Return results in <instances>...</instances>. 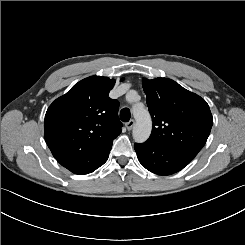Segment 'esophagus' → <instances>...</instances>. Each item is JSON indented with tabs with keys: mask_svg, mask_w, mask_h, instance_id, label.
I'll return each instance as SVG.
<instances>
[{
	"mask_svg": "<svg viewBox=\"0 0 245 245\" xmlns=\"http://www.w3.org/2000/svg\"><path fill=\"white\" fill-rule=\"evenodd\" d=\"M135 121L133 119H131L130 121H128L125 126L127 128V130H132V128L134 127Z\"/></svg>",
	"mask_w": 245,
	"mask_h": 245,
	"instance_id": "obj_1",
	"label": "esophagus"
}]
</instances>
